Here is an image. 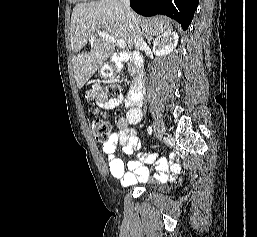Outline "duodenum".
Returning <instances> with one entry per match:
<instances>
[{
  "instance_id": "duodenum-1",
  "label": "duodenum",
  "mask_w": 257,
  "mask_h": 237,
  "mask_svg": "<svg viewBox=\"0 0 257 237\" xmlns=\"http://www.w3.org/2000/svg\"><path fill=\"white\" fill-rule=\"evenodd\" d=\"M125 62H131L138 68H140L143 63V57L136 52H122L115 58L114 69H120ZM144 95V74L138 71L135 75L132 84L128 90V98L133 102H139Z\"/></svg>"
}]
</instances>
